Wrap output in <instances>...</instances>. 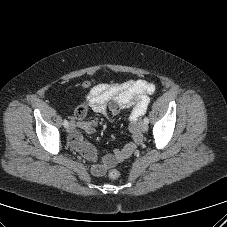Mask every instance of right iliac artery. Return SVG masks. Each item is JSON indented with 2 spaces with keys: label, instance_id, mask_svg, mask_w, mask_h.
I'll list each match as a JSON object with an SVG mask.
<instances>
[{
  "label": "right iliac artery",
  "instance_id": "obj_1",
  "mask_svg": "<svg viewBox=\"0 0 227 227\" xmlns=\"http://www.w3.org/2000/svg\"><path fill=\"white\" fill-rule=\"evenodd\" d=\"M63 125H64L65 128L68 127L69 123H68V121L66 119L64 120Z\"/></svg>",
  "mask_w": 227,
  "mask_h": 227
}]
</instances>
